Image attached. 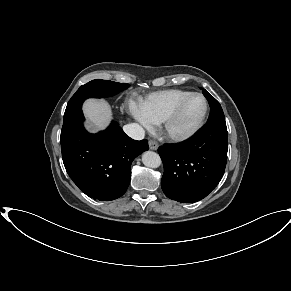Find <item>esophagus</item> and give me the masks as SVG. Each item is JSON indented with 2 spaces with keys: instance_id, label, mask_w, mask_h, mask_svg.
<instances>
[{
  "instance_id": "1",
  "label": "esophagus",
  "mask_w": 291,
  "mask_h": 291,
  "mask_svg": "<svg viewBox=\"0 0 291 291\" xmlns=\"http://www.w3.org/2000/svg\"><path fill=\"white\" fill-rule=\"evenodd\" d=\"M149 148L151 150H157L158 149V143L154 140H149Z\"/></svg>"
}]
</instances>
